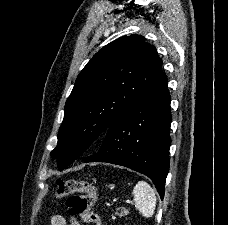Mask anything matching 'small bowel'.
Returning <instances> with one entry per match:
<instances>
[{
  "instance_id": "1",
  "label": "small bowel",
  "mask_w": 228,
  "mask_h": 225,
  "mask_svg": "<svg viewBox=\"0 0 228 225\" xmlns=\"http://www.w3.org/2000/svg\"><path fill=\"white\" fill-rule=\"evenodd\" d=\"M50 225H67L66 219L60 214H53L50 217ZM68 225H80L76 218H70Z\"/></svg>"
}]
</instances>
